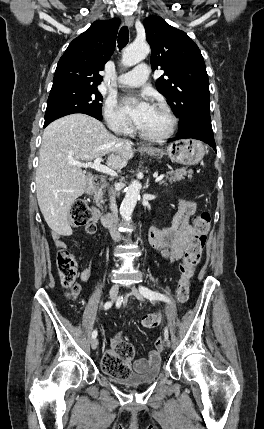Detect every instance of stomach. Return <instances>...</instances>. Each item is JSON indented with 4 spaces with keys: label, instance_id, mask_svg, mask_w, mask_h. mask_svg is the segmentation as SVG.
Segmentation results:
<instances>
[{
    "label": "stomach",
    "instance_id": "stomach-1",
    "mask_svg": "<svg viewBox=\"0 0 264 429\" xmlns=\"http://www.w3.org/2000/svg\"><path fill=\"white\" fill-rule=\"evenodd\" d=\"M150 156L167 155L172 161L183 165L197 164L205 155L203 144L194 139H182L169 144L165 149L144 150Z\"/></svg>",
    "mask_w": 264,
    "mask_h": 429
}]
</instances>
